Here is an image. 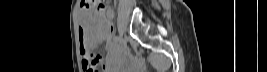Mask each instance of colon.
I'll list each match as a JSON object with an SVG mask.
<instances>
[{
  "label": "colon",
  "mask_w": 267,
  "mask_h": 72,
  "mask_svg": "<svg viewBox=\"0 0 267 72\" xmlns=\"http://www.w3.org/2000/svg\"><path fill=\"white\" fill-rule=\"evenodd\" d=\"M82 5L94 16L98 17L102 30H108L111 27V23L107 21L104 17L105 15V1L103 0H82ZM85 48L84 45L81 46V50ZM101 62V58L93 53H88L87 64L85 66L86 72H98V66Z\"/></svg>",
  "instance_id": "5ec220e1"
}]
</instances>
